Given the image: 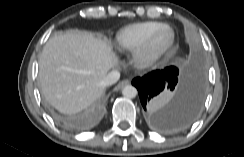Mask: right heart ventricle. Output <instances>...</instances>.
Segmentation results:
<instances>
[{
  "label": "right heart ventricle",
  "instance_id": "obj_1",
  "mask_svg": "<svg viewBox=\"0 0 244 157\" xmlns=\"http://www.w3.org/2000/svg\"><path fill=\"white\" fill-rule=\"evenodd\" d=\"M163 26L165 25L161 22H144L124 27L116 35L115 47L120 51L134 50Z\"/></svg>",
  "mask_w": 244,
  "mask_h": 157
}]
</instances>
